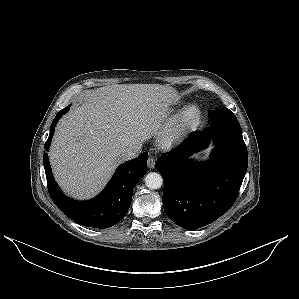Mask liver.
Segmentation results:
<instances>
[{"instance_id": "obj_1", "label": "liver", "mask_w": 299, "mask_h": 299, "mask_svg": "<svg viewBox=\"0 0 299 299\" xmlns=\"http://www.w3.org/2000/svg\"><path fill=\"white\" fill-rule=\"evenodd\" d=\"M178 93L159 84H119L87 93L58 123L49 157L70 196L89 199L106 185L129 145L149 140Z\"/></svg>"}]
</instances>
